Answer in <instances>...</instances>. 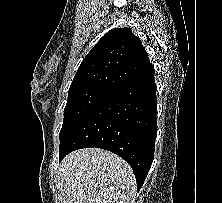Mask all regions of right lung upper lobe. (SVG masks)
<instances>
[{
    "instance_id": "cb5924a9",
    "label": "right lung upper lobe",
    "mask_w": 222,
    "mask_h": 203,
    "mask_svg": "<svg viewBox=\"0 0 222 203\" xmlns=\"http://www.w3.org/2000/svg\"><path fill=\"white\" fill-rule=\"evenodd\" d=\"M151 65L131 29L116 28L105 34L83 59L69 91L100 88L113 92Z\"/></svg>"
}]
</instances>
